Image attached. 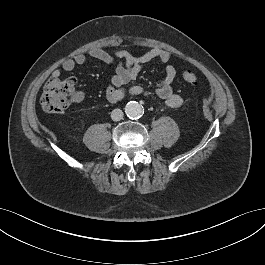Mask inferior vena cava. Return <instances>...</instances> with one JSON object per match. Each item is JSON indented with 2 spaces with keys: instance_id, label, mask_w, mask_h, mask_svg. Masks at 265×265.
Here are the masks:
<instances>
[{
  "instance_id": "obj_1",
  "label": "inferior vena cava",
  "mask_w": 265,
  "mask_h": 265,
  "mask_svg": "<svg viewBox=\"0 0 265 265\" xmlns=\"http://www.w3.org/2000/svg\"><path fill=\"white\" fill-rule=\"evenodd\" d=\"M123 111L121 109H114L111 112V119L113 121H120L121 119H123Z\"/></svg>"
}]
</instances>
